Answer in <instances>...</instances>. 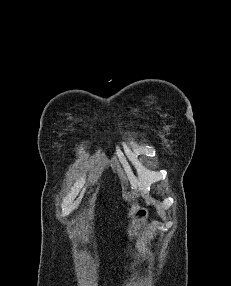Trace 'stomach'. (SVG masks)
I'll return each mask as SVG.
<instances>
[{
    "label": "stomach",
    "mask_w": 231,
    "mask_h": 286,
    "mask_svg": "<svg viewBox=\"0 0 231 286\" xmlns=\"http://www.w3.org/2000/svg\"><path fill=\"white\" fill-rule=\"evenodd\" d=\"M148 217L149 213L146 208H140L135 212L127 230L129 239H133L141 233L147 224Z\"/></svg>",
    "instance_id": "1"
}]
</instances>
